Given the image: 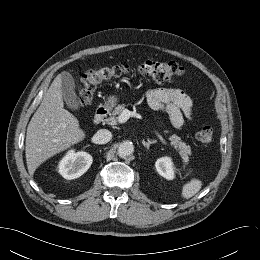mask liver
Masks as SVG:
<instances>
[{"label":"liver","mask_w":260,"mask_h":260,"mask_svg":"<svg viewBox=\"0 0 260 260\" xmlns=\"http://www.w3.org/2000/svg\"><path fill=\"white\" fill-rule=\"evenodd\" d=\"M79 121L64 109L61 74L47 90L26 132L25 155L30 175L48 158L85 138Z\"/></svg>","instance_id":"liver-1"}]
</instances>
